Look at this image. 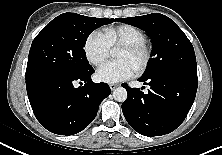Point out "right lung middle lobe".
<instances>
[{
  "label": "right lung middle lobe",
  "instance_id": "obj_1",
  "mask_svg": "<svg viewBox=\"0 0 222 155\" xmlns=\"http://www.w3.org/2000/svg\"><path fill=\"white\" fill-rule=\"evenodd\" d=\"M115 19L63 13L53 19L33 40L26 68V89L54 78H68L86 72L84 50L90 33Z\"/></svg>",
  "mask_w": 222,
  "mask_h": 155
}]
</instances>
